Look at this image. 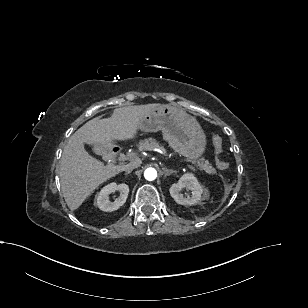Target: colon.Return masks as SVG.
I'll list each match as a JSON object with an SVG mask.
<instances>
[{
	"label": "colon",
	"instance_id": "colon-1",
	"mask_svg": "<svg viewBox=\"0 0 308 308\" xmlns=\"http://www.w3.org/2000/svg\"><path fill=\"white\" fill-rule=\"evenodd\" d=\"M212 141L216 152V164L219 169L225 170L229 167V162L226 160L223 153L222 138L215 134L212 137Z\"/></svg>",
	"mask_w": 308,
	"mask_h": 308
}]
</instances>
